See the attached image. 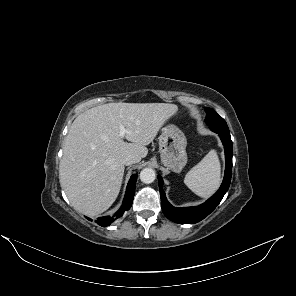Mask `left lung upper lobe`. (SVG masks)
I'll return each mask as SVG.
<instances>
[{
	"instance_id": "1",
	"label": "left lung upper lobe",
	"mask_w": 296,
	"mask_h": 296,
	"mask_svg": "<svg viewBox=\"0 0 296 296\" xmlns=\"http://www.w3.org/2000/svg\"><path fill=\"white\" fill-rule=\"evenodd\" d=\"M206 123L208 125L227 126L225 120L211 108L206 109Z\"/></svg>"
}]
</instances>
